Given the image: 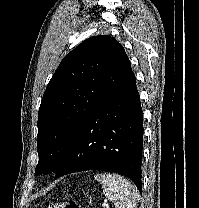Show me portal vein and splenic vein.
<instances>
[{"mask_svg": "<svg viewBox=\"0 0 199 208\" xmlns=\"http://www.w3.org/2000/svg\"><path fill=\"white\" fill-rule=\"evenodd\" d=\"M102 207L103 208H108L109 207V204L107 203L106 200L102 203Z\"/></svg>", "mask_w": 199, "mask_h": 208, "instance_id": "portal-vein-and-splenic-vein-1", "label": "portal vein and splenic vein"}]
</instances>
